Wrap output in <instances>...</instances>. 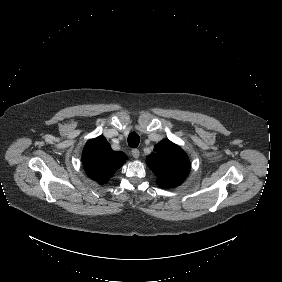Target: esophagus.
Masks as SVG:
<instances>
[{"mask_svg": "<svg viewBox=\"0 0 282 282\" xmlns=\"http://www.w3.org/2000/svg\"><path fill=\"white\" fill-rule=\"evenodd\" d=\"M131 154H132V156H133L135 159H138L139 156H140V152H139V150H137V149H133V150L131 151Z\"/></svg>", "mask_w": 282, "mask_h": 282, "instance_id": "34e87169", "label": "esophagus"}]
</instances>
